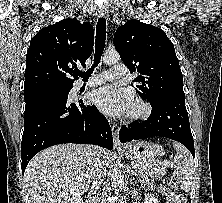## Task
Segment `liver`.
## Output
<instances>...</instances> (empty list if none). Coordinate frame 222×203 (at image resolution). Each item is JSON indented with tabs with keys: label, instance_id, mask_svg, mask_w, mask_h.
<instances>
[{
	"label": "liver",
	"instance_id": "liver-1",
	"mask_svg": "<svg viewBox=\"0 0 222 203\" xmlns=\"http://www.w3.org/2000/svg\"><path fill=\"white\" fill-rule=\"evenodd\" d=\"M106 165L109 154L98 148ZM89 146L60 144L36 154L24 173L30 203H70L89 188L91 179Z\"/></svg>",
	"mask_w": 222,
	"mask_h": 203
}]
</instances>
